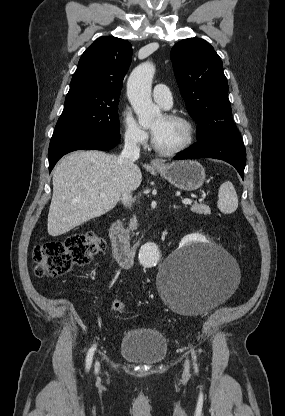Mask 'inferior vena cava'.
Here are the masks:
<instances>
[{"label":"inferior vena cava","mask_w":285,"mask_h":416,"mask_svg":"<svg viewBox=\"0 0 285 416\" xmlns=\"http://www.w3.org/2000/svg\"><path fill=\"white\" fill-rule=\"evenodd\" d=\"M138 140L135 134H131V132H126L125 134V146L122 154H120L118 158V162L122 168V172L124 174H128L130 168L134 166V162L138 160L140 154V148L137 146ZM132 194L128 188H123V192L121 194V202L126 206L131 202Z\"/></svg>","instance_id":"602c4592"}]
</instances>
